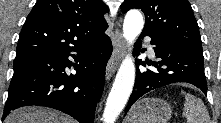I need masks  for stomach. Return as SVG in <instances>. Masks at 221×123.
I'll use <instances>...</instances> for the list:
<instances>
[{
    "instance_id": "stomach-1",
    "label": "stomach",
    "mask_w": 221,
    "mask_h": 123,
    "mask_svg": "<svg viewBox=\"0 0 221 123\" xmlns=\"http://www.w3.org/2000/svg\"><path fill=\"white\" fill-rule=\"evenodd\" d=\"M171 105L160 98H144L133 105L126 123H167L171 118Z\"/></svg>"
}]
</instances>
